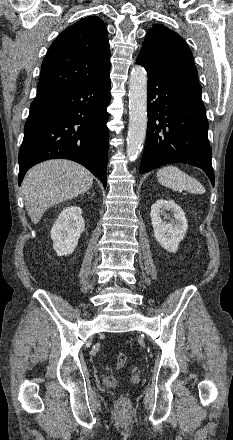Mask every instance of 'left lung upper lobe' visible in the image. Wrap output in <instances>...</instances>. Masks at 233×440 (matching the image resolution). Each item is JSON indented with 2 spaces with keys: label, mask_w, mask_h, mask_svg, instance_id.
<instances>
[{
  "label": "left lung upper lobe",
  "mask_w": 233,
  "mask_h": 440,
  "mask_svg": "<svg viewBox=\"0 0 233 440\" xmlns=\"http://www.w3.org/2000/svg\"><path fill=\"white\" fill-rule=\"evenodd\" d=\"M137 59L158 75L198 83L191 50L177 33L163 25H154L148 31Z\"/></svg>",
  "instance_id": "left-lung-upper-lobe-1"
}]
</instances>
